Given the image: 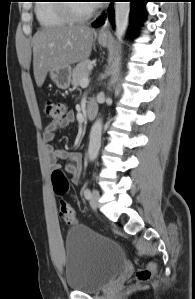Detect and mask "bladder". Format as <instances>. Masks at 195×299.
Here are the masks:
<instances>
[{
	"label": "bladder",
	"mask_w": 195,
	"mask_h": 299,
	"mask_svg": "<svg viewBox=\"0 0 195 299\" xmlns=\"http://www.w3.org/2000/svg\"><path fill=\"white\" fill-rule=\"evenodd\" d=\"M65 256L68 288L84 293L100 290L122 271L126 262L115 241L82 225L68 231Z\"/></svg>",
	"instance_id": "1"
}]
</instances>
